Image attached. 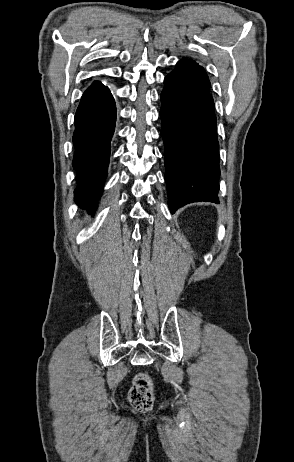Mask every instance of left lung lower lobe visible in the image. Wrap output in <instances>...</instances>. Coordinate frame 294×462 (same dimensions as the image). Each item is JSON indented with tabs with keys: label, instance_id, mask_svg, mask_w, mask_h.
<instances>
[{
	"label": "left lung lower lobe",
	"instance_id": "1",
	"mask_svg": "<svg viewBox=\"0 0 294 462\" xmlns=\"http://www.w3.org/2000/svg\"><path fill=\"white\" fill-rule=\"evenodd\" d=\"M164 84L161 135L171 213L191 202L219 203V144L208 76L195 61L182 59Z\"/></svg>",
	"mask_w": 294,
	"mask_h": 462
}]
</instances>
